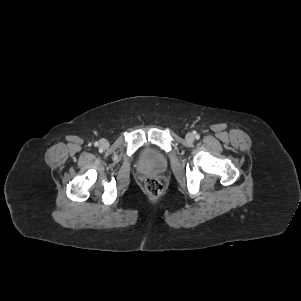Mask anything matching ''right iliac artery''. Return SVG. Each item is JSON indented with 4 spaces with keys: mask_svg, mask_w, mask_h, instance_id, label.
I'll return each mask as SVG.
<instances>
[{
    "mask_svg": "<svg viewBox=\"0 0 301 301\" xmlns=\"http://www.w3.org/2000/svg\"><path fill=\"white\" fill-rule=\"evenodd\" d=\"M95 145L97 146V145H98V142H96Z\"/></svg>",
    "mask_w": 301,
    "mask_h": 301,
    "instance_id": "1",
    "label": "right iliac artery"
}]
</instances>
